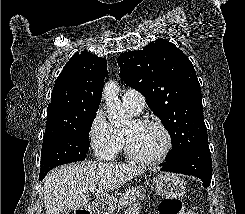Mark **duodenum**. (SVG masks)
<instances>
[{
	"label": "duodenum",
	"mask_w": 245,
	"mask_h": 214,
	"mask_svg": "<svg viewBox=\"0 0 245 214\" xmlns=\"http://www.w3.org/2000/svg\"><path fill=\"white\" fill-rule=\"evenodd\" d=\"M92 209L96 213L104 212L105 210V201L102 199H96L92 202ZM77 214H87L86 209H81Z\"/></svg>",
	"instance_id": "410a0bca"
}]
</instances>
